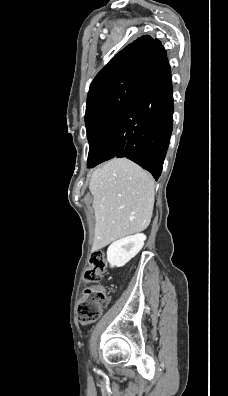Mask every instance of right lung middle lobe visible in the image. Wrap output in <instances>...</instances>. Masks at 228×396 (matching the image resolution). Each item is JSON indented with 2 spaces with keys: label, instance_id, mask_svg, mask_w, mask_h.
Instances as JSON below:
<instances>
[{
  "label": "right lung middle lobe",
  "instance_id": "right-lung-middle-lobe-1",
  "mask_svg": "<svg viewBox=\"0 0 228 396\" xmlns=\"http://www.w3.org/2000/svg\"><path fill=\"white\" fill-rule=\"evenodd\" d=\"M143 75L144 70L133 71L107 80L88 93L85 123L89 141V168L96 160L115 118Z\"/></svg>",
  "mask_w": 228,
  "mask_h": 396
}]
</instances>
